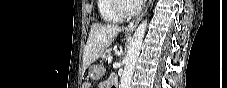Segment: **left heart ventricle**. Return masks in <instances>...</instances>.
I'll return each mask as SVG.
<instances>
[{
  "label": "left heart ventricle",
  "instance_id": "b2bd125f",
  "mask_svg": "<svg viewBox=\"0 0 227 88\" xmlns=\"http://www.w3.org/2000/svg\"><path fill=\"white\" fill-rule=\"evenodd\" d=\"M134 7V5L132 3H127V8L128 9H132Z\"/></svg>",
  "mask_w": 227,
  "mask_h": 88
}]
</instances>
